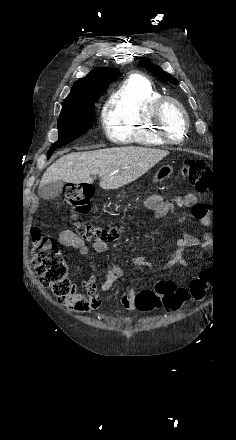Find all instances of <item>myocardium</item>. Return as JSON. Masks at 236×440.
<instances>
[{"label":"myocardium","mask_w":236,"mask_h":440,"mask_svg":"<svg viewBox=\"0 0 236 440\" xmlns=\"http://www.w3.org/2000/svg\"><path fill=\"white\" fill-rule=\"evenodd\" d=\"M168 105H174L175 107H177L183 117V132L182 136L179 139H175L174 137H172L165 126L164 111ZM150 118L154 125L157 136L165 143L178 144L182 143L186 139L189 129V116L184 105L179 100L171 96H161L152 105Z\"/></svg>","instance_id":"myocardium-1"}]
</instances>
